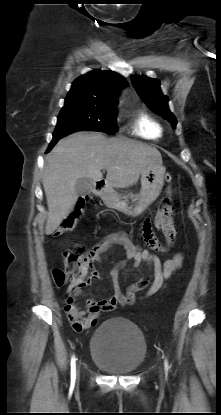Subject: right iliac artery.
I'll return each instance as SVG.
<instances>
[{"label": "right iliac artery", "mask_w": 221, "mask_h": 415, "mask_svg": "<svg viewBox=\"0 0 221 415\" xmlns=\"http://www.w3.org/2000/svg\"><path fill=\"white\" fill-rule=\"evenodd\" d=\"M70 365H71V381L74 382L76 379V359L74 356L71 359Z\"/></svg>", "instance_id": "obj_1"}]
</instances>
